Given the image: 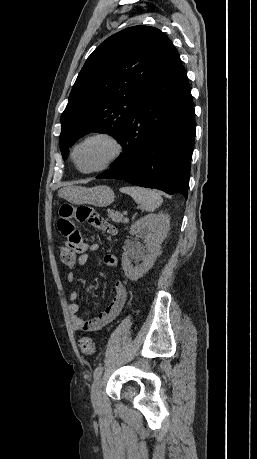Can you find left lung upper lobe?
Returning a JSON list of instances; mask_svg holds the SVG:
<instances>
[{"label": "left lung upper lobe", "mask_w": 257, "mask_h": 459, "mask_svg": "<svg viewBox=\"0 0 257 459\" xmlns=\"http://www.w3.org/2000/svg\"><path fill=\"white\" fill-rule=\"evenodd\" d=\"M174 46L155 27L126 28L101 43L86 60L61 115L59 146L67 149L91 131L120 141L139 95L168 60Z\"/></svg>", "instance_id": "left-lung-upper-lobe-1"}]
</instances>
